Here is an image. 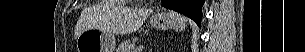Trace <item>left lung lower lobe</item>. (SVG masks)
Here are the masks:
<instances>
[{
	"label": "left lung lower lobe",
	"mask_w": 305,
	"mask_h": 52,
	"mask_svg": "<svg viewBox=\"0 0 305 52\" xmlns=\"http://www.w3.org/2000/svg\"><path fill=\"white\" fill-rule=\"evenodd\" d=\"M204 2L205 0H162V5L168 9L184 14L200 26Z\"/></svg>",
	"instance_id": "obj_1"
}]
</instances>
